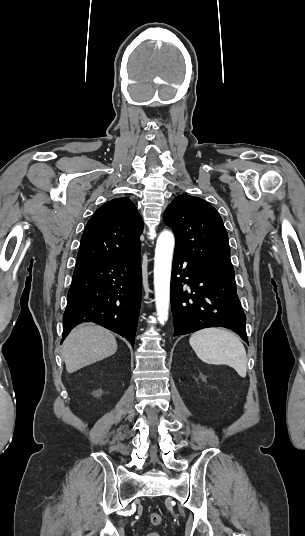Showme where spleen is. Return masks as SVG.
<instances>
[{"mask_svg": "<svg viewBox=\"0 0 305 536\" xmlns=\"http://www.w3.org/2000/svg\"><path fill=\"white\" fill-rule=\"evenodd\" d=\"M189 344L199 360L215 366H230L241 378L247 372L246 350L239 338L224 328H206L192 334Z\"/></svg>", "mask_w": 305, "mask_h": 536, "instance_id": "obj_1", "label": "spleen"}]
</instances>
